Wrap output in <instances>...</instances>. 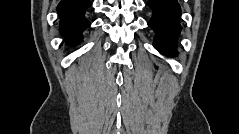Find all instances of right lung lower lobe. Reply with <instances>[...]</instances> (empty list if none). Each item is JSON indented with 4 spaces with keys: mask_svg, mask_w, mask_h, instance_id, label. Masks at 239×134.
<instances>
[{
    "mask_svg": "<svg viewBox=\"0 0 239 134\" xmlns=\"http://www.w3.org/2000/svg\"><path fill=\"white\" fill-rule=\"evenodd\" d=\"M91 5L89 0H62L59 3L60 31L69 45H76L83 39L81 33L90 25L84 13Z\"/></svg>",
    "mask_w": 239,
    "mask_h": 134,
    "instance_id": "98d812e1",
    "label": "right lung lower lobe"
}]
</instances>
